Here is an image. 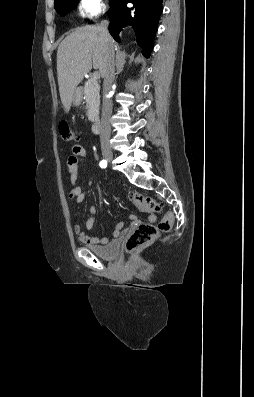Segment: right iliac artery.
Masks as SVG:
<instances>
[{"instance_id":"82829eb1","label":"right iliac artery","mask_w":254,"mask_h":397,"mask_svg":"<svg viewBox=\"0 0 254 397\" xmlns=\"http://www.w3.org/2000/svg\"><path fill=\"white\" fill-rule=\"evenodd\" d=\"M99 165H100L101 168H106L107 167V161L106 160H101Z\"/></svg>"}]
</instances>
